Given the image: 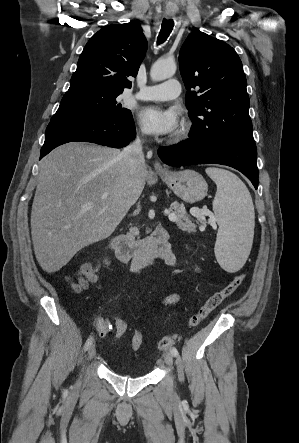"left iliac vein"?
I'll return each instance as SVG.
<instances>
[{
	"instance_id": "1",
	"label": "left iliac vein",
	"mask_w": 299,
	"mask_h": 443,
	"mask_svg": "<svg viewBox=\"0 0 299 443\" xmlns=\"http://www.w3.org/2000/svg\"><path fill=\"white\" fill-rule=\"evenodd\" d=\"M164 360H165V363L168 365V366H172V364H173V355L171 354V353H166L165 355H164Z\"/></svg>"
}]
</instances>
